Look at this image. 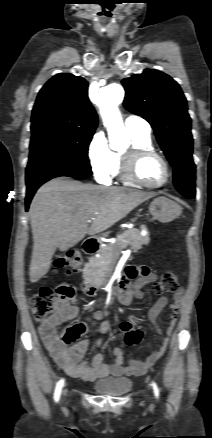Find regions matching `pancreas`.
I'll return each instance as SVG.
<instances>
[{
  "instance_id": "obj_1",
  "label": "pancreas",
  "mask_w": 212,
  "mask_h": 438,
  "mask_svg": "<svg viewBox=\"0 0 212 438\" xmlns=\"http://www.w3.org/2000/svg\"><path fill=\"white\" fill-rule=\"evenodd\" d=\"M149 241L150 238L143 236L137 229L126 230L114 244L102 247L99 250V256L89 259V263L84 269V278L88 279L91 274L96 273L95 267L105 274L108 273L112 269V265L118 260L121 249L130 246L136 252L142 249L143 245L149 244Z\"/></svg>"
}]
</instances>
